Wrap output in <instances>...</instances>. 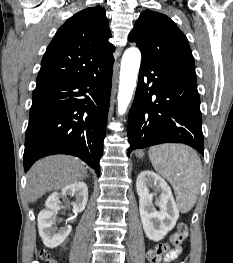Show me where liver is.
<instances>
[{
	"instance_id": "6515ba94",
	"label": "liver",
	"mask_w": 233,
	"mask_h": 263,
	"mask_svg": "<svg viewBox=\"0 0 233 263\" xmlns=\"http://www.w3.org/2000/svg\"><path fill=\"white\" fill-rule=\"evenodd\" d=\"M87 177L85 166L77 158L55 155L37 161L27 174L26 193L35 202L46 192L59 190Z\"/></svg>"
}]
</instances>
